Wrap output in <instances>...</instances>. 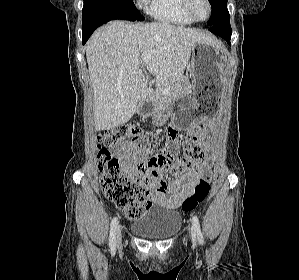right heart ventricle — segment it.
Listing matches in <instances>:
<instances>
[{
    "instance_id": "right-heart-ventricle-1",
    "label": "right heart ventricle",
    "mask_w": 299,
    "mask_h": 280,
    "mask_svg": "<svg viewBox=\"0 0 299 280\" xmlns=\"http://www.w3.org/2000/svg\"><path fill=\"white\" fill-rule=\"evenodd\" d=\"M146 10L154 19L177 25H191L193 21L182 8V0H147Z\"/></svg>"
}]
</instances>
